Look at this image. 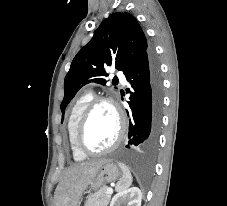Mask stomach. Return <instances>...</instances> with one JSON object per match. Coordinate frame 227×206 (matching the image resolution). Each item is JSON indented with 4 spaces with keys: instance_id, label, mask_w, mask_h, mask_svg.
<instances>
[{
    "instance_id": "0dacf381",
    "label": "stomach",
    "mask_w": 227,
    "mask_h": 206,
    "mask_svg": "<svg viewBox=\"0 0 227 206\" xmlns=\"http://www.w3.org/2000/svg\"><path fill=\"white\" fill-rule=\"evenodd\" d=\"M121 175L122 173L118 166L107 160L101 165L95 178L89 184L90 189H96L104 186L106 183L114 182L119 179ZM77 206H79V204Z\"/></svg>"
}]
</instances>
